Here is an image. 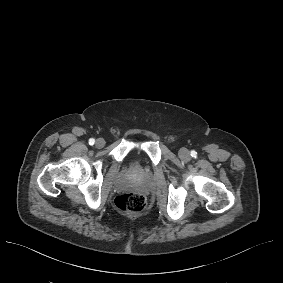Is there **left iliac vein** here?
Here are the masks:
<instances>
[{
	"mask_svg": "<svg viewBox=\"0 0 283 283\" xmlns=\"http://www.w3.org/2000/svg\"><path fill=\"white\" fill-rule=\"evenodd\" d=\"M179 157L183 160L189 161L190 160L189 151L185 148L180 149L179 150Z\"/></svg>",
	"mask_w": 283,
	"mask_h": 283,
	"instance_id": "1",
	"label": "left iliac vein"
}]
</instances>
